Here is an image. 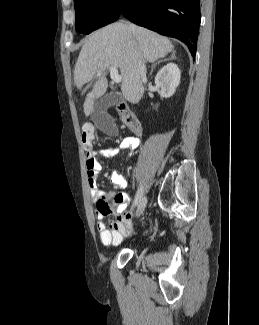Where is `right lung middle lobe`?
<instances>
[{"instance_id": "right-lung-middle-lobe-1", "label": "right lung middle lobe", "mask_w": 259, "mask_h": 325, "mask_svg": "<svg viewBox=\"0 0 259 325\" xmlns=\"http://www.w3.org/2000/svg\"><path fill=\"white\" fill-rule=\"evenodd\" d=\"M126 0H74L75 27L80 33L92 31L116 21Z\"/></svg>"}]
</instances>
